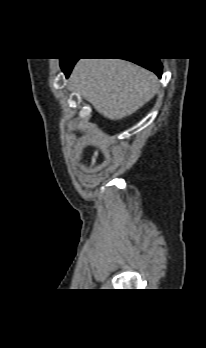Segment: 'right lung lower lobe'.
Instances as JSON below:
<instances>
[{
  "label": "right lung lower lobe",
  "instance_id": "obj_1",
  "mask_svg": "<svg viewBox=\"0 0 206 348\" xmlns=\"http://www.w3.org/2000/svg\"><path fill=\"white\" fill-rule=\"evenodd\" d=\"M78 59H70V60H64L60 64L62 67L63 72L68 77L74 64L77 62ZM129 61H132L138 65H141L154 73L158 75L159 78H161L162 75V64L160 63L159 59L157 58H138V59H129Z\"/></svg>",
  "mask_w": 206,
  "mask_h": 348
}]
</instances>
